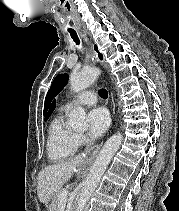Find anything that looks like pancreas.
<instances>
[{
    "instance_id": "obj_1",
    "label": "pancreas",
    "mask_w": 179,
    "mask_h": 211,
    "mask_svg": "<svg viewBox=\"0 0 179 211\" xmlns=\"http://www.w3.org/2000/svg\"><path fill=\"white\" fill-rule=\"evenodd\" d=\"M61 191H58L55 193L54 197H53V201H52V204H51V211H58V204L60 202V194H61Z\"/></svg>"
}]
</instances>
